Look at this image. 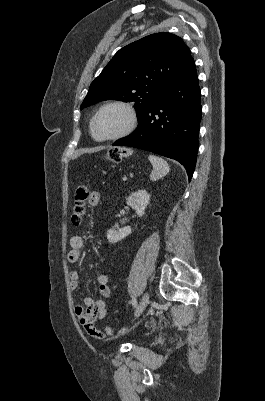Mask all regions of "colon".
Returning a JSON list of instances; mask_svg holds the SVG:
<instances>
[{"mask_svg": "<svg viewBox=\"0 0 265 401\" xmlns=\"http://www.w3.org/2000/svg\"><path fill=\"white\" fill-rule=\"evenodd\" d=\"M129 154H130L129 150L125 148L114 147L108 150L106 154V159L109 162L117 163L120 162L122 159L126 158L127 156H129ZM89 197H90L89 187L83 183L79 184L76 187L74 193V209L72 214V223L74 225H78L81 223L83 214L85 212V206L87 201L89 200ZM85 329L89 335L97 339H102L105 337V335H112L115 333V330L111 327H106L104 331H101L91 323L87 324Z\"/></svg>", "mask_w": 265, "mask_h": 401, "instance_id": "colon-1", "label": "colon"}]
</instances>
